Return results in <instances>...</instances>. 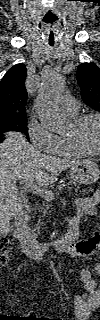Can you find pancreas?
<instances>
[{
  "instance_id": "obj_1",
  "label": "pancreas",
  "mask_w": 100,
  "mask_h": 320,
  "mask_svg": "<svg viewBox=\"0 0 100 320\" xmlns=\"http://www.w3.org/2000/svg\"><path fill=\"white\" fill-rule=\"evenodd\" d=\"M46 208H41V212H42V215L39 217V220H38V223L36 224L35 226V229L33 230L34 234L36 236H38L39 234V230H40V221L44 218L45 214L47 213V210H48V202H46Z\"/></svg>"
}]
</instances>
